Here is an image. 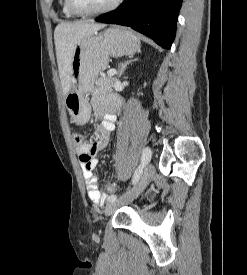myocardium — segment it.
Returning a JSON list of instances; mask_svg holds the SVG:
<instances>
[{"mask_svg":"<svg viewBox=\"0 0 247 275\" xmlns=\"http://www.w3.org/2000/svg\"><path fill=\"white\" fill-rule=\"evenodd\" d=\"M120 2L121 0H112V2L105 7L92 10V11H86L78 8L74 4L73 0H66L67 6L69 7V9L75 14L81 15V16H96V15H101V14L111 12L119 6Z\"/></svg>","mask_w":247,"mask_h":275,"instance_id":"obj_1","label":"myocardium"}]
</instances>
